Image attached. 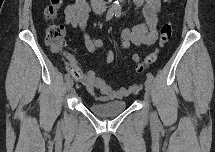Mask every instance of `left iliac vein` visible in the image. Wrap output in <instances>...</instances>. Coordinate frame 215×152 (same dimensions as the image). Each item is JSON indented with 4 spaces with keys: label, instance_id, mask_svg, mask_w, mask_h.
I'll return each instance as SVG.
<instances>
[{
    "label": "left iliac vein",
    "instance_id": "obj_1",
    "mask_svg": "<svg viewBox=\"0 0 215 152\" xmlns=\"http://www.w3.org/2000/svg\"><path fill=\"white\" fill-rule=\"evenodd\" d=\"M145 89H146V92H147V97H149V95L151 93V90H152V81L150 79H147L145 81ZM152 116L154 117L155 114L152 113Z\"/></svg>",
    "mask_w": 215,
    "mask_h": 152
}]
</instances>
